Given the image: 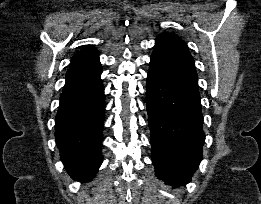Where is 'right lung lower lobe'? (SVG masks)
Segmentation results:
<instances>
[{
    "label": "right lung lower lobe",
    "instance_id": "1",
    "mask_svg": "<svg viewBox=\"0 0 261 204\" xmlns=\"http://www.w3.org/2000/svg\"><path fill=\"white\" fill-rule=\"evenodd\" d=\"M99 58L70 67L55 118L64 166L76 181L90 180L102 163L104 89Z\"/></svg>",
    "mask_w": 261,
    "mask_h": 204
}]
</instances>
